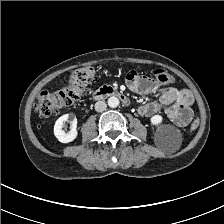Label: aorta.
Returning <instances> with one entry per match:
<instances>
[{"label": "aorta", "instance_id": "aorta-1", "mask_svg": "<svg viewBox=\"0 0 224 224\" xmlns=\"http://www.w3.org/2000/svg\"><path fill=\"white\" fill-rule=\"evenodd\" d=\"M108 105L111 108H116L119 105V99L115 96H112L108 99Z\"/></svg>", "mask_w": 224, "mask_h": 224}]
</instances>
